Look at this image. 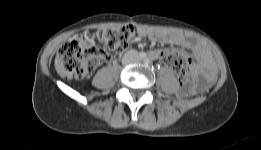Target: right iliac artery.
<instances>
[{
	"label": "right iliac artery",
	"instance_id": "1",
	"mask_svg": "<svg viewBox=\"0 0 261 150\" xmlns=\"http://www.w3.org/2000/svg\"><path fill=\"white\" fill-rule=\"evenodd\" d=\"M139 56H140V58H146V53L145 52H140Z\"/></svg>",
	"mask_w": 261,
	"mask_h": 150
}]
</instances>
